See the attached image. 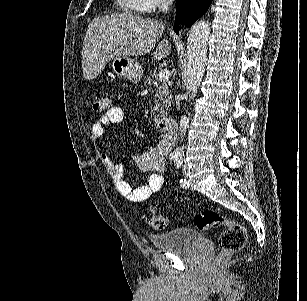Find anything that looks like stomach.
<instances>
[{
    "mask_svg": "<svg viewBox=\"0 0 307 301\" xmlns=\"http://www.w3.org/2000/svg\"><path fill=\"white\" fill-rule=\"evenodd\" d=\"M112 70L118 76L127 78L130 82H139L142 78L143 68L134 58H128V56H116L111 62Z\"/></svg>",
    "mask_w": 307,
    "mask_h": 301,
    "instance_id": "1",
    "label": "stomach"
}]
</instances>
